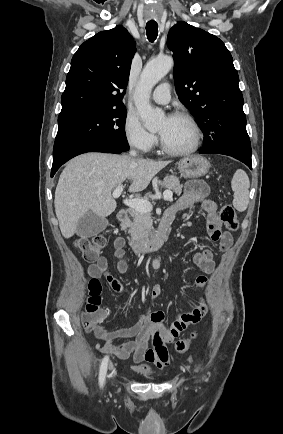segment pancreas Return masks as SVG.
<instances>
[{
	"instance_id": "pancreas-1",
	"label": "pancreas",
	"mask_w": 283,
	"mask_h": 434,
	"mask_svg": "<svg viewBox=\"0 0 283 434\" xmlns=\"http://www.w3.org/2000/svg\"><path fill=\"white\" fill-rule=\"evenodd\" d=\"M159 185L172 190L178 196L182 192V185L175 176L165 178L162 182H159ZM129 213L133 217V220L123 221L121 229L127 231L135 243L142 244L153 231L151 215L149 212H139L134 209H129Z\"/></svg>"
}]
</instances>
